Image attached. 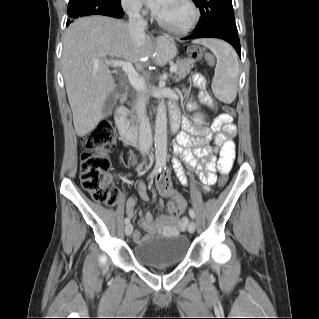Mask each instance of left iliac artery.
I'll return each instance as SVG.
<instances>
[{
	"mask_svg": "<svg viewBox=\"0 0 319 319\" xmlns=\"http://www.w3.org/2000/svg\"><path fill=\"white\" fill-rule=\"evenodd\" d=\"M189 215H190V217H191L192 219L195 218V212H194L193 209H190V210H189Z\"/></svg>",
	"mask_w": 319,
	"mask_h": 319,
	"instance_id": "left-iliac-artery-1",
	"label": "left iliac artery"
}]
</instances>
